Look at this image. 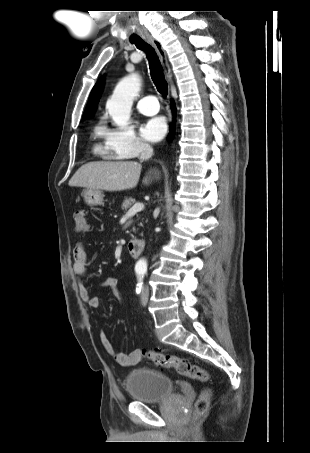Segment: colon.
<instances>
[{
	"label": "colon",
	"mask_w": 310,
	"mask_h": 453,
	"mask_svg": "<svg viewBox=\"0 0 310 453\" xmlns=\"http://www.w3.org/2000/svg\"><path fill=\"white\" fill-rule=\"evenodd\" d=\"M74 226L76 231L83 232L88 228L86 213L77 211L74 215ZM143 355L152 361L157 367L162 369L174 368L179 374L188 376L199 381L209 379L208 372L199 365L191 363L188 359L162 354L153 350H143ZM211 398L210 390L204 389L195 404V413L197 416L204 414L209 406Z\"/></svg>",
	"instance_id": "obj_1"
}]
</instances>
